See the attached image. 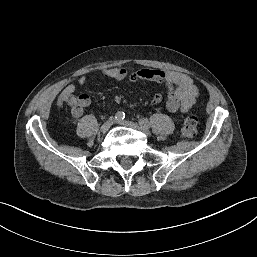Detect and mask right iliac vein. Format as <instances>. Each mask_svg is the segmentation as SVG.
Masks as SVG:
<instances>
[{
	"label": "right iliac vein",
	"instance_id": "1",
	"mask_svg": "<svg viewBox=\"0 0 257 257\" xmlns=\"http://www.w3.org/2000/svg\"><path fill=\"white\" fill-rule=\"evenodd\" d=\"M115 122V120L113 118L107 120L100 128L101 132L105 133L107 132L111 126L113 125V123Z\"/></svg>",
	"mask_w": 257,
	"mask_h": 257
}]
</instances>
